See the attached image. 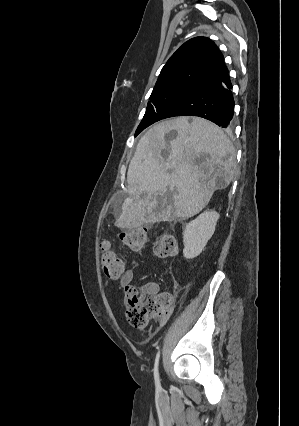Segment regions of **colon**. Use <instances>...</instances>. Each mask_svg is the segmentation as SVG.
I'll use <instances>...</instances> for the list:
<instances>
[{"instance_id":"obj_1","label":"colon","mask_w":299,"mask_h":426,"mask_svg":"<svg viewBox=\"0 0 299 426\" xmlns=\"http://www.w3.org/2000/svg\"><path fill=\"white\" fill-rule=\"evenodd\" d=\"M120 239L133 251L142 250L147 242L145 228H133L123 231ZM101 264L104 273L110 278H119L126 271V262L110 247L109 242L100 245ZM154 252L159 257H171L177 252V241L170 232L161 233L155 243ZM124 301L127 319L135 328H144L153 317L163 316L171 306V297L157 294L150 286L128 285L125 288Z\"/></svg>"}]
</instances>
